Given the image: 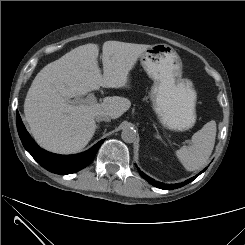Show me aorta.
<instances>
[{"mask_svg": "<svg viewBox=\"0 0 245 245\" xmlns=\"http://www.w3.org/2000/svg\"><path fill=\"white\" fill-rule=\"evenodd\" d=\"M136 130L131 127H125L122 130L121 138L126 143H133L136 140Z\"/></svg>", "mask_w": 245, "mask_h": 245, "instance_id": "aorta-1", "label": "aorta"}]
</instances>
